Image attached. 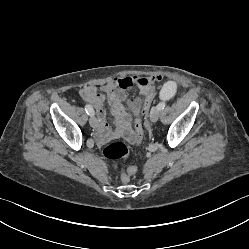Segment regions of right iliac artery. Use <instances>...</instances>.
<instances>
[{
    "label": "right iliac artery",
    "mask_w": 249,
    "mask_h": 249,
    "mask_svg": "<svg viewBox=\"0 0 249 249\" xmlns=\"http://www.w3.org/2000/svg\"><path fill=\"white\" fill-rule=\"evenodd\" d=\"M85 111H86V113L88 114V115H90V116H92V115H94V110H93V108L90 106V105H85Z\"/></svg>",
    "instance_id": "obj_1"
}]
</instances>
